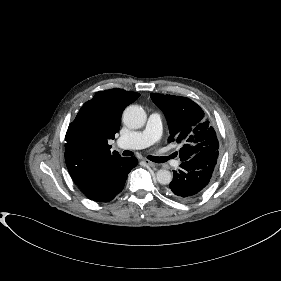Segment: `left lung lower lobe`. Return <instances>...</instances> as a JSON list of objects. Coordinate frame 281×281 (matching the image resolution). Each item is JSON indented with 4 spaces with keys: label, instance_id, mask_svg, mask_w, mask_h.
Segmentation results:
<instances>
[{
    "label": "left lung lower lobe",
    "instance_id": "obj_1",
    "mask_svg": "<svg viewBox=\"0 0 281 281\" xmlns=\"http://www.w3.org/2000/svg\"><path fill=\"white\" fill-rule=\"evenodd\" d=\"M219 152H200L193 158L183 161L178 171H173L169 184L171 192L180 200L197 197L210 182L215 170Z\"/></svg>",
    "mask_w": 281,
    "mask_h": 281
}]
</instances>
